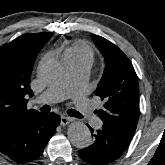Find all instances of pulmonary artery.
<instances>
[{
  "instance_id": "1",
  "label": "pulmonary artery",
  "mask_w": 165,
  "mask_h": 165,
  "mask_svg": "<svg viewBox=\"0 0 165 165\" xmlns=\"http://www.w3.org/2000/svg\"><path fill=\"white\" fill-rule=\"evenodd\" d=\"M67 66L69 69V77L62 84L47 89L35 102L38 104H52L73 96L77 110L80 111L94 127L99 128L102 122L93 114L90 103L84 95L90 64L68 63Z\"/></svg>"
}]
</instances>
